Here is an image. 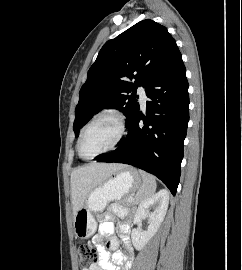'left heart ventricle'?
Masks as SVG:
<instances>
[{"mask_svg": "<svg viewBox=\"0 0 242 270\" xmlns=\"http://www.w3.org/2000/svg\"><path fill=\"white\" fill-rule=\"evenodd\" d=\"M119 127L115 120L105 118L97 121L85 132L81 151L86 157L93 156L108 148L117 138Z\"/></svg>", "mask_w": 242, "mask_h": 270, "instance_id": "1", "label": "left heart ventricle"}]
</instances>
